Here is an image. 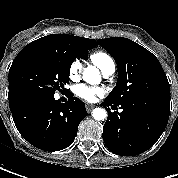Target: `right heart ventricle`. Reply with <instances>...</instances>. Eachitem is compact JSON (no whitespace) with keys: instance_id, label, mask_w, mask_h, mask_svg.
<instances>
[{"instance_id":"right-heart-ventricle-1","label":"right heart ventricle","mask_w":178,"mask_h":178,"mask_svg":"<svg viewBox=\"0 0 178 178\" xmlns=\"http://www.w3.org/2000/svg\"><path fill=\"white\" fill-rule=\"evenodd\" d=\"M90 60L95 64L102 72H104L109 66L114 65V61L110 55L102 51L93 52L90 55Z\"/></svg>"}]
</instances>
